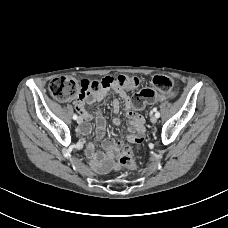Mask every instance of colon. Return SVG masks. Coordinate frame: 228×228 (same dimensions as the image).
Segmentation results:
<instances>
[{
	"instance_id": "colon-1",
	"label": "colon",
	"mask_w": 228,
	"mask_h": 228,
	"mask_svg": "<svg viewBox=\"0 0 228 228\" xmlns=\"http://www.w3.org/2000/svg\"><path fill=\"white\" fill-rule=\"evenodd\" d=\"M137 83V78L129 76H119L118 78L108 76L101 80L82 79L80 81L68 77H59L50 81L49 91L55 99L66 101L87 94L96 95L102 90L109 89L113 85L132 88L135 87ZM152 84L154 89L146 88L133 96L131 100L132 108L140 110L146 105L153 104L175 94V83L169 76L155 75L152 78ZM118 161L119 164L126 169L135 170L137 168V164L133 159L132 148L129 145L123 147L119 153Z\"/></svg>"
}]
</instances>
